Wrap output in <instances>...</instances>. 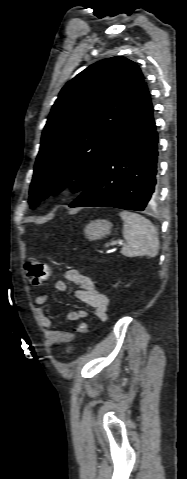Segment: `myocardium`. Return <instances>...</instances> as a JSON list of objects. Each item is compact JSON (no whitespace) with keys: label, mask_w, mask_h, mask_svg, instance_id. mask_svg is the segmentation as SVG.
<instances>
[{"label":"myocardium","mask_w":187,"mask_h":479,"mask_svg":"<svg viewBox=\"0 0 187 479\" xmlns=\"http://www.w3.org/2000/svg\"><path fill=\"white\" fill-rule=\"evenodd\" d=\"M79 179H80V177H75V178L71 179V181H72V182H76V181H78Z\"/></svg>","instance_id":"1"}]
</instances>
